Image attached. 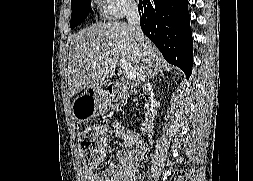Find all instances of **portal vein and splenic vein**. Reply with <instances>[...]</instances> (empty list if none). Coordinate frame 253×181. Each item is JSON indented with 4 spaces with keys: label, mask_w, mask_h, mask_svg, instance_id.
I'll use <instances>...</instances> for the list:
<instances>
[{
    "label": "portal vein and splenic vein",
    "mask_w": 253,
    "mask_h": 181,
    "mask_svg": "<svg viewBox=\"0 0 253 181\" xmlns=\"http://www.w3.org/2000/svg\"><path fill=\"white\" fill-rule=\"evenodd\" d=\"M118 61H119V66L124 70L125 76L128 79L134 81L136 79V72L133 66L131 65V63L123 58H119Z\"/></svg>",
    "instance_id": "portal-vein-and-splenic-vein-1"
}]
</instances>
